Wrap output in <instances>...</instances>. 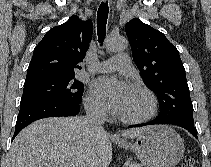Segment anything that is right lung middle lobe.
<instances>
[{"label": "right lung middle lobe", "instance_id": "dd1d6c3e", "mask_svg": "<svg viewBox=\"0 0 211 167\" xmlns=\"http://www.w3.org/2000/svg\"><path fill=\"white\" fill-rule=\"evenodd\" d=\"M84 85L74 76H50L26 80L20 107L36 103H78Z\"/></svg>", "mask_w": 211, "mask_h": 167}]
</instances>
